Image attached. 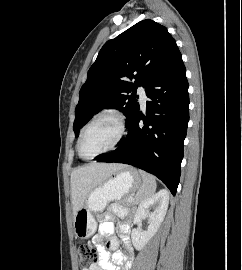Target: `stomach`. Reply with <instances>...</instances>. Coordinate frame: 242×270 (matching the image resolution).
Segmentation results:
<instances>
[{"label": "stomach", "instance_id": "obj_1", "mask_svg": "<svg viewBox=\"0 0 242 270\" xmlns=\"http://www.w3.org/2000/svg\"><path fill=\"white\" fill-rule=\"evenodd\" d=\"M141 185L139 172L135 168L126 166L90 191L83 207L74 216L75 236L80 239L91 237L97 228L93 214L103 211L110 201L121 200L137 191Z\"/></svg>", "mask_w": 242, "mask_h": 270}]
</instances>
